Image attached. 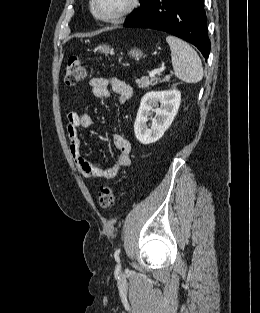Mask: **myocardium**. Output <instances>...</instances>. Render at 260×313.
Masks as SVG:
<instances>
[{"label":"myocardium","instance_id":"f54148a6","mask_svg":"<svg viewBox=\"0 0 260 313\" xmlns=\"http://www.w3.org/2000/svg\"><path fill=\"white\" fill-rule=\"evenodd\" d=\"M138 5L139 0H129L127 6L122 11L115 15L106 16L99 13L97 9V0H91V11L95 18L99 21L106 23H116L133 13Z\"/></svg>","mask_w":260,"mask_h":313}]
</instances>
